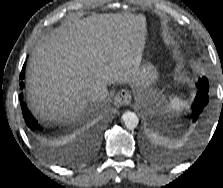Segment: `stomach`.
Here are the masks:
<instances>
[{"instance_id":"stomach-1","label":"stomach","mask_w":223,"mask_h":188,"mask_svg":"<svg viewBox=\"0 0 223 188\" xmlns=\"http://www.w3.org/2000/svg\"><path fill=\"white\" fill-rule=\"evenodd\" d=\"M141 71H142V79L140 84L143 88H147L155 84L158 73L156 68L148 61H145L141 64Z\"/></svg>"}]
</instances>
